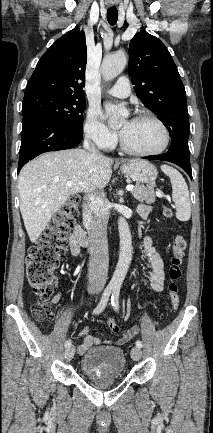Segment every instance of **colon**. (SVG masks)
Returning <instances> with one entry per match:
<instances>
[{
  "label": "colon",
  "instance_id": "obj_1",
  "mask_svg": "<svg viewBox=\"0 0 213 433\" xmlns=\"http://www.w3.org/2000/svg\"><path fill=\"white\" fill-rule=\"evenodd\" d=\"M78 212L79 199L73 197L59 208L39 240L28 249L26 276L29 287L39 296L38 302L32 306V314L38 321L53 318L48 298L55 291V270L66 253L68 232L73 227ZM163 214L171 217L172 212L168 207H164ZM186 246V240L182 235H176L171 244V282L168 285V294L174 310L180 303L177 281L182 277ZM107 325L111 332L119 331V325L114 319L108 320Z\"/></svg>",
  "mask_w": 213,
  "mask_h": 433
}]
</instances>
